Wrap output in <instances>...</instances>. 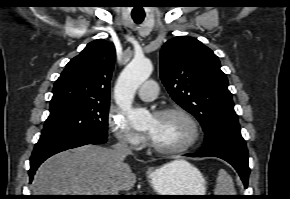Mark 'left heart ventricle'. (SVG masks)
Listing matches in <instances>:
<instances>
[{"label":"left heart ventricle","mask_w":290,"mask_h":199,"mask_svg":"<svg viewBox=\"0 0 290 199\" xmlns=\"http://www.w3.org/2000/svg\"><path fill=\"white\" fill-rule=\"evenodd\" d=\"M145 131L156 145L166 149L181 147L192 136L190 125L179 115L154 116L147 122Z\"/></svg>","instance_id":"obj_1"}]
</instances>
